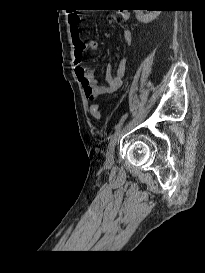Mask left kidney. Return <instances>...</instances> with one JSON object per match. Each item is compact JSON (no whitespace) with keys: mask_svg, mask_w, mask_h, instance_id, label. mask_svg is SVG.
I'll list each match as a JSON object with an SVG mask.
<instances>
[{"mask_svg":"<svg viewBox=\"0 0 205 273\" xmlns=\"http://www.w3.org/2000/svg\"><path fill=\"white\" fill-rule=\"evenodd\" d=\"M144 11L146 13H144ZM136 18L143 23H149L160 15L161 10H135Z\"/></svg>","mask_w":205,"mask_h":273,"instance_id":"1","label":"left kidney"}]
</instances>
